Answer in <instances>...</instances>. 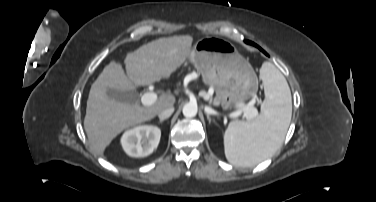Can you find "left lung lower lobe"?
I'll return each instance as SVG.
<instances>
[{
    "mask_svg": "<svg viewBox=\"0 0 376 202\" xmlns=\"http://www.w3.org/2000/svg\"><path fill=\"white\" fill-rule=\"evenodd\" d=\"M247 44H252V45H254V46H256L258 49H260L262 52H264V50L261 48V47H259L258 45H256L255 43H253V42H250V41H245Z\"/></svg>",
    "mask_w": 376,
    "mask_h": 202,
    "instance_id": "0a47b994",
    "label": "left lung lower lobe"
}]
</instances>
